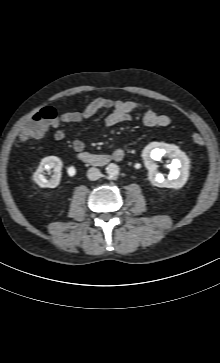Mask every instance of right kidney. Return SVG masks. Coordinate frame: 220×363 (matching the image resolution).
Returning <instances> with one entry per match:
<instances>
[{
    "instance_id": "ca27d5eb",
    "label": "right kidney",
    "mask_w": 220,
    "mask_h": 363,
    "mask_svg": "<svg viewBox=\"0 0 220 363\" xmlns=\"http://www.w3.org/2000/svg\"><path fill=\"white\" fill-rule=\"evenodd\" d=\"M62 161L56 156H49L42 159L38 169L33 175V180L41 188H55L59 185L61 179ZM53 168V176L47 180L43 175L44 170Z\"/></svg>"
}]
</instances>
